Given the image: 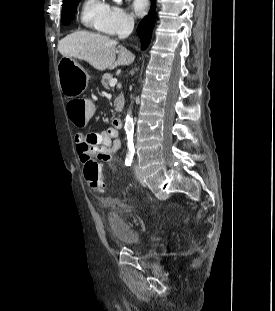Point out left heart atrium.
I'll use <instances>...</instances> for the list:
<instances>
[{
  "label": "left heart atrium",
  "mask_w": 275,
  "mask_h": 311,
  "mask_svg": "<svg viewBox=\"0 0 275 311\" xmlns=\"http://www.w3.org/2000/svg\"><path fill=\"white\" fill-rule=\"evenodd\" d=\"M132 9L137 16H142L148 9V0H133Z\"/></svg>",
  "instance_id": "39dd6f15"
}]
</instances>
